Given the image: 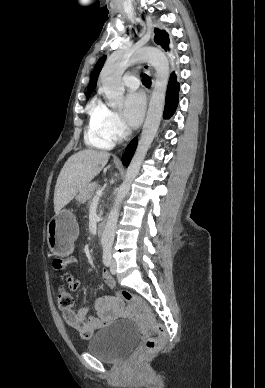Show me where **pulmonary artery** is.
I'll list each match as a JSON object with an SVG mask.
<instances>
[{
  "mask_svg": "<svg viewBox=\"0 0 265 388\" xmlns=\"http://www.w3.org/2000/svg\"><path fill=\"white\" fill-rule=\"evenodd\" d=\"M146 77L149 75L146 74ZM139 81L136 79L134 75H126L124 80H123V85L124 86H129V92L131 94H134L136 92V89L138 88Z\"/></svg>",
  "mask_w": 265,
  "mask_h": 388,
  "instance_id": "pulmonary-artery-1",
  "label": "pulmonary artery"
}]
</instances>
